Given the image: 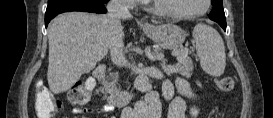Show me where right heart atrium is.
Listing matches in <instances>:
<instances>
[{
  "instance_id": "d8ad5b80",
  "label": "right heart atrium",
  "mask_w": 273,
  "mask_h": 118,
  "mask_svg": "<svg viewBox=\"0 0 273 118\" xmlns=\"http://www.w3.org/2000/svg\"><path fill=\"white\" fill-rule=\"evenodd\" d=\"M120 2L125 9H133L138 3L137 0H121Z\"/></svg>"
}]
</instances>
